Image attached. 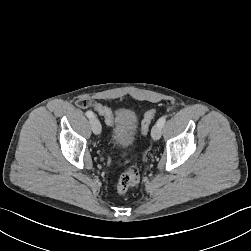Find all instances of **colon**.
Listing matches in <instances>:
<instances>
[{"label":"colon","mask_w":251,"mask_h":251,"mask_svg":"<svg viewBox=\"0 0 251 251\" xmlns=\"http://www.w3.org/2000/svg\"><path fill=\"white\" fill-rule=\"evenodd\" d=\"M96 111L104 119V122L110 127L117 125V116L113 114V109L102 104L100 101H96L89 111ZM157 114V109H151L147 111L141 122V133L146 136L150 129L152 119ZM140 181V169L137 165H131L129 168L120 176L117 191L120 194L126 193L131 187L137 185Z\"/></svg>","instance_id":"colon-1"}]
</instances>
